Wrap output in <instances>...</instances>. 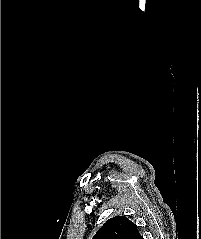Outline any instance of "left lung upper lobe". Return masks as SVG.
I'll return each instance as SVG.
<instances>
[{"instance_id": "left-lung-upper-lobe-1", "label": "left lung upper lobe", "mask_w": 201, "mask_h": 239, "mask_svg": "<svg viewBox=\"0 0 201 239\" xmlns=\"http://www.w3.org/2000/svg\"><path fill=\"white\" fill-rule=\"evenodd\" d=\"M93 239H143L136 224L125 216L110 218L97 231Z\"/></svg>"}]
</instances>
